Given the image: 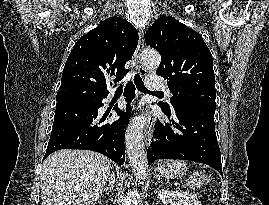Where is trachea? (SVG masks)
<instances>
[{"label": "trachea", "instance_id": "obj_1", "mask_svg": "<svg viewBox=\"0 0 269 205\" xmlns=\"http://www.w3.org/2000/svg\"><path fill=\"white\" fill-rule=\"evenodd\" d=\"M134 82L136 84V87L138 88V90H140L141 92H144V93H150V94H159V95H164L163 92H158V91H149L143 81H142V78L138 75V74H135L134 76ZM123 91L122 89V84L116 89V93H121Z\"/></svg>", "mask_w": 269, "mask_h": 205}]
</instances>
